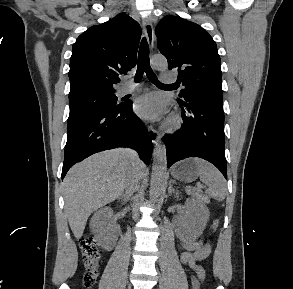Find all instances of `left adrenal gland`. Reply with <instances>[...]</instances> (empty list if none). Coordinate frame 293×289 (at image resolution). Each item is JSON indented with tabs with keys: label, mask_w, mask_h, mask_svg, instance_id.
Returning <instances> with one entry per match:
<instances>
[{
	"label": "left adrenal gland",
	"mask_w": 293,
	"mask_h": 289,
	"mask_svg": "<svg viewBox=\"0 0 293 289\" xmlns=\"http://www.w3.org/2000/svg\"><path fill=\"white\" fill-rule=\"evenodd\" d=\"M175 192V189L172 187V181L169 182V187H168V195L172 194Z\"/></svg>",
	"instance_id": "1"
}]
</instances>
